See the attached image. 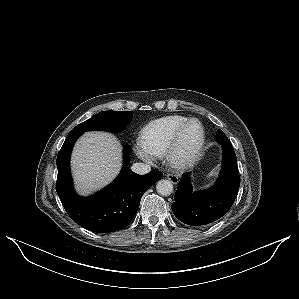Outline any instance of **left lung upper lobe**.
<instances>
[{"mask_svg":"<svg viewBox=\"0 0 299 299\" xmlns=\"http://www.w3.org/2000/svg\"><path fill=\"white\" fill-rule=\"evenodd\" d=\"M216 140L219 142L229 141V139L227 138V136L224 134V132L222 130H218V132L216 134Z\"/></svg>","mask_w":299,"mask_h":299,"instance_id":"1","label":"left lung upper lobe"}]
</instances>
